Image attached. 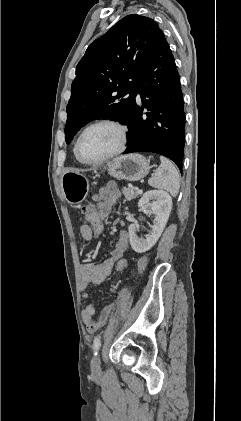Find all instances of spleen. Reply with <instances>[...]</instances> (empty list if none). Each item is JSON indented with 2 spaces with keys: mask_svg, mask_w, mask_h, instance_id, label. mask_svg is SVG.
Here are the masks:
<instances>
[{
  "mask_svg": "<svg viewBox=\"0 0 241 421\" xmlns=\"http://www.w3.org/2000/svg\"><path fill=\"white\" fill-rule=\"evenodd\" d=\"M161 164L156 172L149 178L148 184L157 189L168 191L176 197L180 188V177L176 167L167 158L160 157Z\"/></svg>",
  "mask_w": 241,
  "mask_h": 421,
  "instance_id": "3e777b00",
  "label": "spleen"
}]
</instances>
